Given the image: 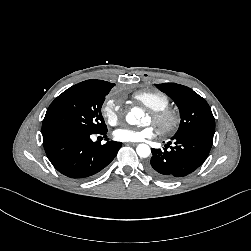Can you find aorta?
<instances>
[{
	"instance_id": "762f6f07",
	"label": "aorta",
	"mask_w": 251,
	"mask_h": 251,
	"mask_svg": "<svg viewBox=\"0 0 251 251\" xmlns=\"http://www.w3.org/2000/svg\"><path fill=\"white\" fill-rule=\"evenodd\" d=\"M144 116L143 111L140 108L134 107L131 111L126 115V121L135 125L138 124L139 120ZM136 152L140 157H148L151 153L150 147L147 144H139L136 148Z\"/></svg>"
}]
</instances>
